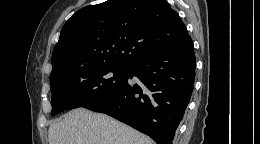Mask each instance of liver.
<instances>
[{
    "mask_svg": "<svg viewBox=\"0 0 260 144\" xmlns=\"http://www.w3.org/2000/svg\"><path fill=\"white\" fill-rule=\"evenodd\" d=\"M49 144H154L135 129L105 114L72 110L52 124Z\"/></svg>",
    "mask_w": 260,
    "mask_h": 144,
    "instance_id": "liver-1",
    "label": "liver"
}]
</instances>
